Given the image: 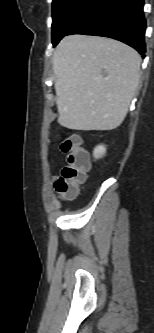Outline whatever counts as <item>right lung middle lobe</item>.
Masks as SVG:
<instances>
[{
  "label": "right lung middle lobe",
  "mask_w": 154,
  "mask_h": 333,
  "mask_svg": "<svg viewBox=\"0 0 154 333\" xmlns=\"http://www.w3.org/2000/svg\"><path fill=\"white\" fill-rule=\"evenodd\" d=\"M100 0H53L52 43L56 46Z\"/></svg>",
  "instance_id": "dd1d6c3e"
}]
</instances>
